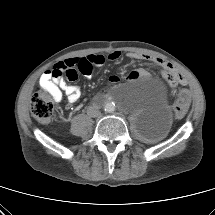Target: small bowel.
<instances>
[{
    "mask_svg": "<svg viewBox=\"0 0 215 215\" xmlns=\"http://www.w3.org/2000/svg\"><path fill=\"white\" fill-rule=\"evenodd\" d=\"M121 57V53L119 51H113L108 54L107 57L103 55H97V54H91L86 57H80V58H68L64 60L63 62H60L56 64L51 70L46 71L40 78V86L43 89H46L50 91L56 98V101H61L63 98V94L67 96L68 99V108L72 107V104L76 103L80 97H81V90L80 87L77 85L68 84L63 76L56 77L54 76L55 71H64L65 69L69 68H75L77 70V73L74 78H67L70 81H75L78 77V67L81 64H86L88 66L87 72H80L81 74L85 76H90L92 73L93 67H99L102 66L106 59L109 61H117ZM128 57L130 59L134 60H151L159 65L163 66L164 68L168 69V63L165 61L154 58L151 56L141 55L138 53H128ZM148 75L147 71L145 69H138L135 71H132L129 75L130 80H135L138 78L146 77ZM109 81L111 83H117L119 81V77L116 75H112L109 77Z\"/></svg>",
    "mask_w": 215,
    "mask_h": 215,
    "instance_id": "small-bowel-1",
    "label": "small bowel"
}]
</instances>
